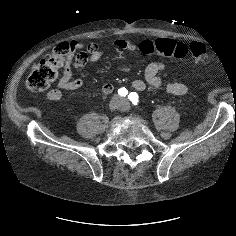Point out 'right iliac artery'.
<instances>
[{
    "label": "right iliac artery",
    "instance_id": "right-iliac-artery-1",
    "mask_svg": "<svg viewBox=\"0 0 236 236\" xmlns=\"http://www.w3.org/2000/svg\"><path fill=\"white\" fill-rule=\"evenodd\" d=\"M118 94L121 97H125L128 94V90L125 87H122V88L118 89Z\"/></svg>",
    "mask_w": 236,
    "mask_h": 236
}]
</instances>
